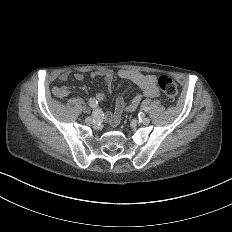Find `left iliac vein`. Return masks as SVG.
Instances as JSON below:
<instances>
[{"label":"left iliac vein","instance_id":"obj_1","mask_svg":"<svg viewBox=\"0 0 232 232\" xmlns=\"http://www.w3.org/2000/svg\"><path fill=\"white\" fill-rule=\"evenodd\" d=\"M143 124L144 125H149L150 124V119L149 118H144L143 119Z\"/></svg>","mask_w":232,"mask_h":232}]
</instances>
